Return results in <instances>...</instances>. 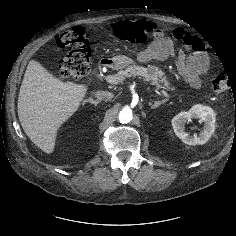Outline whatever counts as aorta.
<instances>
[{"label":"aorta","instance_id":"762f6f07","mask_svg":"<svg viewBox=\"0 0 236 236\" xmlns=\"http://www.w3.org/2000/svg\"><path fill=\"white\" fill-rule=\"evenodd\" d=\"M119 122L122 124H126L132 121L133 115L132 110L128 107L123 108L119 113Z\"/></svg>","mask_w":236,"mask_h":236}]
</instances>
